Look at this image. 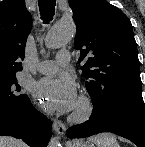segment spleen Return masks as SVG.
I'll return each mask as SVG.
<instances>
[{
    "instance_id": "1",
    "label": "spleen",
    "mask_w": 145,
    "mask_h": 147,
    "mask_svg": "<svg viewBox=\"0 0 145 147\" xmlns=\"http://www.w3.org/2000/svg\"><path fill=\"white\" fill-rule=\"evenodd\" d=\"M89 140L94 142L97 147H119L116 137L109 133L93 136Z\"/></svg>"
}]
</instances>
